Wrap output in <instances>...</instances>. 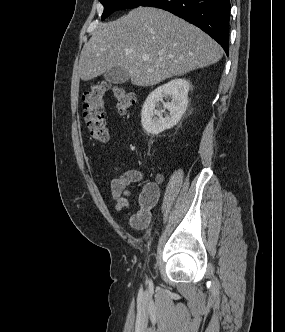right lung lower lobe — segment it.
<instances>
[{"label":"right lung lower lobe","mask_w":285,"mask_h":332,"mask_svg":"<svg viewBox=\"0 0 285 332\" xmlns=\"http://www.w3.org/2000/svg\"><path fill=\"white\" fill-rule=\"evenodd\" d=\"M142 6L167 10L201 28L228 55L230 0H147Z\"/></svg>","instance_id":"1"}]
</instances>
